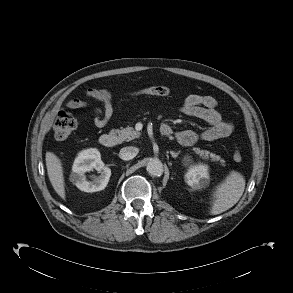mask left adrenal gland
<instances>
[{
  "label": "left adrenal gland",
  "mask_w": 293,
  "mask_h": 293,
  "mask_svg": "<svg viewBox=\"0 0 293 293\" xmlns=\"http://www.w3.org/2000/svg\"><path fill=\"white\" fill-rule=\"evenodd\" d=\"M170 154L173 158H177L178 155L180 154V151H178V152L170 151Z\"/></svg>",
  "instance_id": "obj_1"
}]
</instances>
